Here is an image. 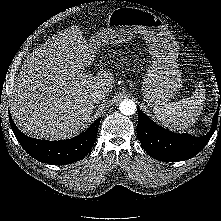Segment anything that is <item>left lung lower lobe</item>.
I'll use <instances>...</instances> for the list:
<instances>
[{"mask_svg":"<svg viewBox=\"0 0 221 221\" xmlns=\"http://www.w3.org/2000/svg\"><path fill=\"white\" fill-rule=\"evenodd\" d=\"M221 104V94L220 100ZM218 104V106H219ZM138 111L137 134L146 153L161 161H182L194 157L208 143L216 128H221L219 119V107L212 121L209 133L201 137L189 134H177L155 124L140 109Z\"/></svg>","mask_w":221,"mask_h":221,"instance_id":"left-lung-lower-lobe-1","label":"left lung lower lobe"}]
</instances>
